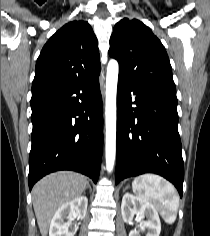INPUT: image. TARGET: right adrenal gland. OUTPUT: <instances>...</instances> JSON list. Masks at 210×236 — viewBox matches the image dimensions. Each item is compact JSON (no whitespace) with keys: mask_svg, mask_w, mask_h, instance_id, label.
Instances as JSON below:
<instances>
[{"mask_svg":"<svg viewBox=\"0 0 210 236\" xmlns=\"http://www.w3.org/2000/svg\"><path fill=\"white\" fill-rule=\"evenodd\" d=\"M86 188L89 189L90 192L92 191L91 186H90L89 183H87V187Z\"/></svg>","mask_w":210,"mask_h":236,"instance_id":"2a0ac1e0","label":"right adrenal gland"}]
</instances>
